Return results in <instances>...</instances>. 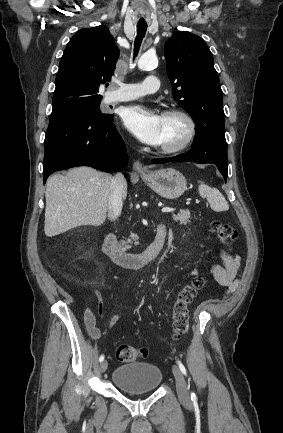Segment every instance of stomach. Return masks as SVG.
<instances>
[{
    "instance_id": "1",
    "label": "stomach",
    "mask_w": 283,
    "mask_h": 433,
    "mask_svg": "<svg viewBox=\"0 0 283 433\" xmlns=\"http://www.w3.org/2000/svg\"><path fill=\"white\" fill-rule=\"evenodd\" d=\"M140 174L142 180L164 198H178L187 188L185 176L175 168L147 170V172H140Z\"/></svg>"
}]
</instances>
